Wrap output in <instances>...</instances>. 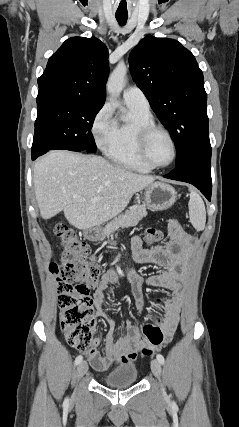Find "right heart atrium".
Returning a JSON list of instances; mask_svg holds the SVG:
<instances>
[{"label":"right heart atrium","mask_w":239,"mask_h":427,"mask_svg":"<svg viewBox=\"0 0 239 427\" xmlns=\"http://www.w3.org/2000/svg\"><path fill=\"white\" fill-rule=\"evenodd\" d=\"M115 123L116 121L113 118L112 109L107 104L95 115L92 121L91 131L99 148L104 150L108 145L115 130Z\"/></svg>","instance_id":"d8ad5b80"}]
</instances>
